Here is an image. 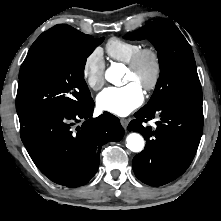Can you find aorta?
<instances>
[{
    "label": "aorta",
    "instance_id": "762f6f07",
    "mask_svg": "<svg viewBox=\"0 0 221 221\" xmlns=\"http://www.w3.org/2000/svg\"><path fill=\"white\" fill-rule=\"evenodd\" d=\"M121 65L113 64L105 72V78L108 82L119 85L121 83ZM126 146L132 152H141L144 149V139L138 133H130L126 138Z\"/></svg>",
    "mask_w": 221,
    "mask_h": 221
}]
</instances>
